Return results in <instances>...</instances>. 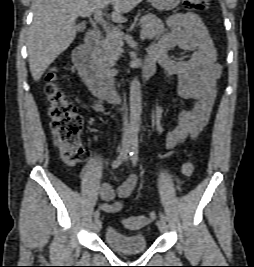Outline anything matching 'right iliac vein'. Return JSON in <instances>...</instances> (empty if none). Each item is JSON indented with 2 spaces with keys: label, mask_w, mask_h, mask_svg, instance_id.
<instances>
[{
  "label": "right iliac vein",
  "mask_w": 254,
  "mask_h": 267,
  "mask_svg": "<svg viewBox=\"0 0 254 267\" xmlns=\"http://www.w3.org/2000/svg\"><path fill=\"white\" fill-rule=\"evenodd\" d=\"M101 226H102V224H101V221H100V219H95V221L93 222V230L95 231V232H99L100 231V229H101Z\"/></svg>",
  "instance_id": "right-iliac-vein-1"
}]
</instances>
